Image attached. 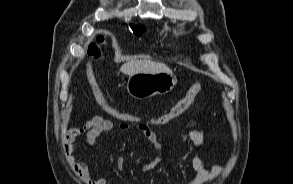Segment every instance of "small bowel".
<instances>
[{
    "instance_id": "1",
    "label": "small bowel",
    "mask_w": 293,
    "mask_h": 184,
    "mask_svg": "<svg viewBox=\"0 0 293 184\" xmlns=\"http://www.w3.org/2000/svg\"><path fill=\"white\" fill-rule=\"evenodd\" d=\"M200 120L201 117L191 119L182 133L183 141L190 144L195 150L192 158V166L196 174L188 184H204L208 181H212L216 179L222 171V167L219 165L207 168L198 155L199 147L207 138V132L205 130L195 128ZM114 127V123L111 120L97 115L88 119L83 124L72 127L65 132L64 141L66 159L79 181L87 184H108V179L106 177L92 179L86 161L82 158H76L75 154L79 149L77 144L79 139H84L87 143L93 145L105 133L112 131ZM119 129L122 131L135 129L154 146L157 150V155L143 166V171L149 172L156 169L161 161L162 146L158 141L156 133L149 127V125L146 123H139L133 126L123 123L119 125ZM123 165L124 157L120 156L117 159L118 169L121 170Z\"/></svg>"
}]
</instances>
